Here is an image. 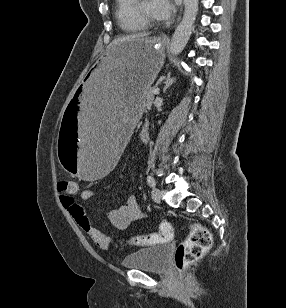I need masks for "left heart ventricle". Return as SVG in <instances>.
Here are the masks:
<instances>
[{
    "instance_id": "b2bd125f",
    "label": "left heart ventricle",
    "mask_w": 286,
    "mask_h": 308,
    "mask_svg": "<svg viewBox=\"0 0 286 308\" xmlns=\"http://www.w3.org/2000/svg\"><path fill=\"white\" fill-rule=\"evenodd\" d=\"M138 5L141 12L144 13L146 16L154 20L158 19L153 12L151 0H142L141 2L138 3Z\"/></svg>"
}]
</instances>
